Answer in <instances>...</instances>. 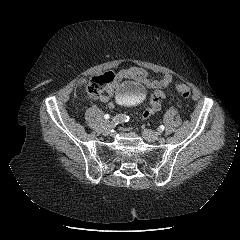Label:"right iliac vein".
Instances as JSON below:
<instances>
[{"label":"right iliac vein","instance_id":"right-iliac-vein-1","mask_svg":"<svg viewBox=\"0 0 240 240\" xmlns=\"http://www.w3.org/2000/svg\"><path fill=\"white\" fill-rule=\"evenodd\" d=\"M111 128L112 126L110 124L104 125V127L102 128L103 135L105 136L109 135L111 133Z\"/></svg>","mask_w":240,"mask_h":240}]
</instances>
